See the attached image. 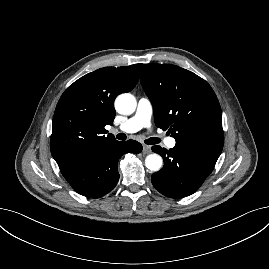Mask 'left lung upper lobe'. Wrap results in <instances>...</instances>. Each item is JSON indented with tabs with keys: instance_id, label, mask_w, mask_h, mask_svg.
Returning a JSON list of instances; mask_svg holds the SVG:
<instances>
[{
	"instance_id": "5c2ea615",
	"label": "left lung upper lobe",
	"mask_w": 269,
	"mask_h": 269,
	"mask_svg": "<svg viewBox=\"0 0 269 269\" xmlns=\"http://www.w3.org/2000/svg\"><path fill=\"white\" fill-rule=\"evenodd\" d=\"M141 71L157 127L176 142L224 145L220 104L204 79L169 64H145Z\"/></svg>"
}]
</instances>
